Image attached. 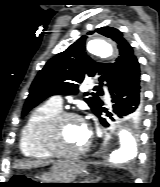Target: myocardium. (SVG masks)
Instances as JSON below:
<instances>
[{
  "instance_id": "myocardium-1",
  "label": "myocardium",
  "mask_w": 160,
  "mask_h": 187,
  "mask_svg": "<svg viewBox=\"0 0 160 187\" xmlns=\"http://www.w3.org/2000/svg\"><path fill=\"white\" fill-rule=\"evenodd\" d=\"M79 120L84 122L81 115L72 111H60L51 117L43 129V145L53 156L61 158H75L84 155L90 148L91 141L88 139L84 147L77 151H66L60 146V130L63 123L67 120Z\"/></svg>"
}]
</instances>
